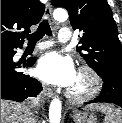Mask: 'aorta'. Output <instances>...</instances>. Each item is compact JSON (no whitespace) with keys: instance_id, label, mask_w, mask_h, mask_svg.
I'll return each instance as SVG.
<instances>
[{"instance_id":"obj_1","label":"aorta","mask_w":122,"mask_h":123,"mask_svg":"<svg viewBox=\"0 0 122 123\" xmlns=\"http://www.w3.org/2000/svg\"><path fill=\"white\" fill-rule=\"evenodd\" d=\"M53 16L55 20L62 22L67 20L68 13L62 8H58L54 11ZM61 120V101L58 98H54L49 107V121L50 123H60Z\"/></svg>"}]
</instances>
